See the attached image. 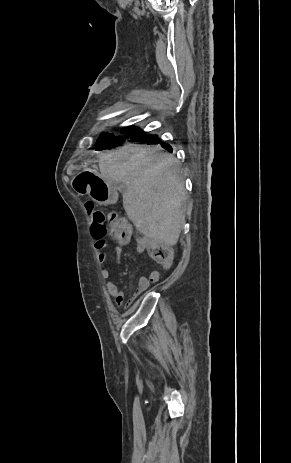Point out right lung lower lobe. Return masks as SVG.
Returning a JSON list of instances; mask_svg holds the SVG:
<instances>
[{
    "instance_id": "98d812e1",
    "label": "right lung lower lobe",
    "mask_w": 291,
    "mask_h": 463,
    "mask_svg": "<svg viewBox=\"0 0 291 463\" xmlns=\"http://www.w3.org/2000/svg\"><path fill=\"white\" fill-rule=\"evenodd\" d=\"M144 143H147V144H157V143H160L162 145L163 148H165L166 150L168 151H171V147L169 144H164L162 141L159 140V138L157 136L151 138V139H148V140H144L143 141Z\"/></svg>"
}]
</instances>
